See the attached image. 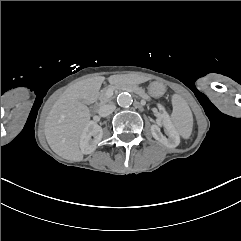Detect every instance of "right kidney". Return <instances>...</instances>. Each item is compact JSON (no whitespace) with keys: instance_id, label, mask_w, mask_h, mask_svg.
Here are the masks:
<instances>
[{"instance_id":"ca27d5eb","label":"right kidney","mask_w":241,"mask_h":241,"mask_svg":"<svg viewBox=\"0 0 241 241\" xmlns=\"http://www.w3.org/2000/svg\"><path fill=\"white\" fill-rule=\"evenodd\" d=\"M103 130L96 123L91 121L84 129L80 146L85 154H90L96 150L97 144L102 140Z\"/></svg>"}]
</instances>
